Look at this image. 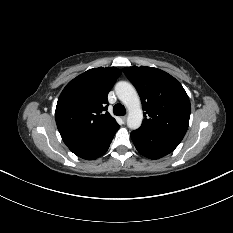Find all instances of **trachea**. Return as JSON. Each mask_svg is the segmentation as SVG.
Listing matches in <instances>:
<instances>
[{"label": "trachea", "instance_id": "3493384b", "mask_svg": "<svg viewBox=\"0 0 233 233\" xmlns=\"http://www.w3.org/2000/svg\"><path fill=\"white\" fill-rule=\"evenodd\" d=\"M114 114L117 116H124L126 114V109L122 104H115L113 107Z\"/></svg>", "mask_w": 233, "mask_h": 233}]
</instances>
